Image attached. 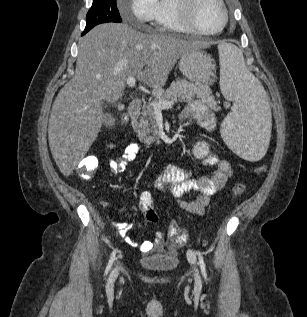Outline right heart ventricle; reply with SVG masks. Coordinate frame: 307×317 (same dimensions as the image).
Instances as JSON below:
<instances>
[{
    "instance_id": "obj_1",
    "label": "right heart ventricle",
    "mask_w": 307,
    "mask_h": 317,
    "mask_svg": "<svg viewBox=\"0 0 307 317\" xmlns=\"http://www.w3.org/2000/svg\"><path fill=\"white\" fill-rule=\"evenodd\" d=\"M155 21V27L159 31L190 32L179 18L175 0H159V13Z\"/></svg>"
}]
</instances>
